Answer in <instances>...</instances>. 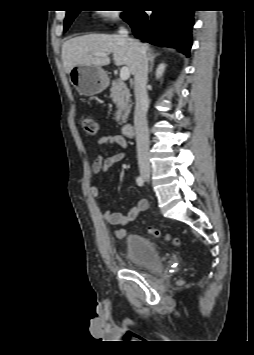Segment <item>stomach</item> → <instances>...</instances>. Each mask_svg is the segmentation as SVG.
Here are the masks:
<instances>
[{"instance_id":"obj_1","label":"stomach","mask_w":254,"mask_h":355,"mask_svg":"<svg viewBox=\"0 0 254 355\" xmlns=\"http://www.w3.org/2000/svg\"><path fill=\"white\" fill-rule=\"evenodd\" d=\"M68 75L70 83L84 96L101 93L109 83L105 70L92 64L78 65Z\"/></svg>"}]
</instances>
